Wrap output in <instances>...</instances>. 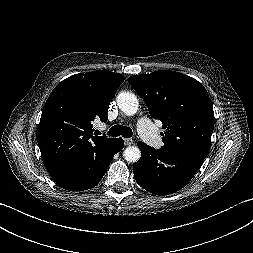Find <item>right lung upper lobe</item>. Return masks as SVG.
<instances>
[{"label": "right lung upper lobe", "instance_id": "obj_1", "mask_svg": "<svg viewBox=\"0 0 253 253\" xmlns=\"http://www.w3.org/2000/svg\"><path fill=\"white\" fill-rule=\"evenodd\" d=\"M124 79L119 73L98 70L72 75L53 89L37 129L47 168L89 156L114 141L93 136L92 122L107 120L110 101Z\"/></svg>", "mask_w": 253, "mask_h": 253}]
</instances>
